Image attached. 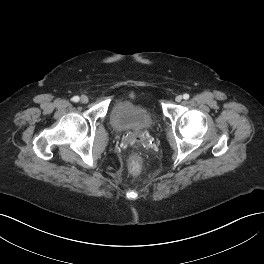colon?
I'll use <instances>...</instances> for the list:
<instances>
[{
	"label": "colon",
	"mask_w": 264,
	"mask_h": 264,
	"mask_svg": "<svg viewBox=\"0 0 264 264\" xmlns=\"http://www.w3.org/2000/svg\"><path fill=\"white\" fill-rule=\"evenodd\" d=\"M140 170H141L140 160L139 159L132 160L131 164H130V172L133 175H137V174H139Z\"/></svg>",
	"instance_id": "colon-1"
}]
</instances>
